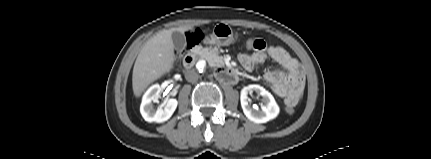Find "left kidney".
I'll return each mask as SVG.
<instances>
[{
	"label": "left kidney",
	"mask_w": 431,
	"mask_h": 159,
	"mask_svg": "<svg viewBox=\"0 0 431 159\" xmlns=\"http://www.w3.org/2000/svg\"><path fill=\"white\" fill-rule=\"evenodd\" d=\"M253 91L262 97L261 109L254 106L252 107L249 104L248 94ZM240 101L245 116L255 123H266L269 120L276 118L280 111L279 106L271 93L257 84L244 87L241 90Z\"/></svg>",
	"instance_id": "left-kidney-1"
}]
</instances>
